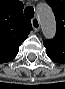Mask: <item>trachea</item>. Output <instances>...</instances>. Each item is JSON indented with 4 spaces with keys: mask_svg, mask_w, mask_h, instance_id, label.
<instances>
[{
    "mask_svg": "<svg viewBox=\"0 0 65 89\" xmlns=\"http://www.w3.org/2000/svg\"><path fill=\"white\" fill-rule=\"evenodd\" d=\"M24 14L27 18H33L34 16V8L32 6H28L25 10H24Z\"/></svg>",
    "mask_w": 65,
    "mask_h": 89,
    "instance_id": "obj_1",
    "label": "trachea"
}]
</instances>
